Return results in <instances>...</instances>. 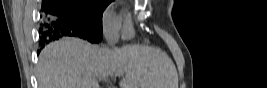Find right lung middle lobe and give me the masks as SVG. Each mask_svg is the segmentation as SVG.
Segmentation results:
<instances>
[{"mask_svg":"<svg viewBox=\"0 0 267 88\" xmlns=\"http://www.w3.org/2000/svg\"><path fill=\"white\" fill-rule=\"evenodd\" d=\"M113 0H43L42 10L101 36L104 9Z\"/></svg>","mask_w":267,"mask_h":88,"instance_id":"dd1d6c3e","label":"right lung middle lobe"}]
</instances>
